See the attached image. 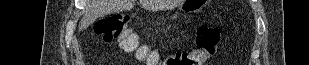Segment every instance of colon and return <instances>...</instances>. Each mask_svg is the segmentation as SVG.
<instances>
[{"instance_id": "1", "label": "colon", "mask_w": 309, "mask_h": 65, "mask_svg": "<svg viewBox=\"0 0 309 65\" xmlns=\"http://www.w3.org/2000/svg\"><path fill=\"white\" fill-rule=\"evenodd\" d=\"M130 17L126 14H115L101 18L95 24V33L106 43L117 41L124 51L134 52L137 59L148 65H202L214 55L220 42L221 33L218 27L199 26L196 32L195 48L176 50L166 59L141 44L129 28Z\"/></svg>"}]
</instances>
